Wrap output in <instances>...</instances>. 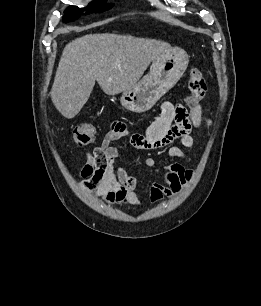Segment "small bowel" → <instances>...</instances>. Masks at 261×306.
I'll return each mask as SVG.
<instances>
[{"label":"small bowel","mask_w":261,"mask_h":306,"mask_svg":"<svg viewBox=\"0 0 261 306\" xmlns=\"http://www.w3.org/2000/svg\"><path fill=\"white\" fill-rule=\"evenodd\" d=\"M204 123L202 106L198 105L189 111L180 104L164 102L159 116L150 124L143 134L130 135L131 144L140 150H151L168 147L167 154L171 158L180 159L189 163L187 153L174 143L190 149L194 146L192 131L200 129ZM129 136V132L122 123H114L104 136L101 148L106 155V165L98 169L89 158L82 168L81 174L95 187L94 195L102 197L109 204H129L141 206L137 196L138 173L130 174L125 169L115 166L119 156L118 148L111 144L123 137ZM157 161L148 156L144 165L154 168ZM191 169L182 164L171 163L164 167L162 181H155L150 185L149 196L152 202H159L164 197L177 195L185 183L191 178Z\"/></svg>","instance_id":"1"}]
</instances>
